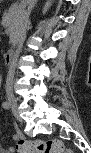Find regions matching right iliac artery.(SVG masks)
Masks as SVG:
<instances>
[{
	"label": "right iliac artery",
	"instance_id": "82829eb1",
	"mask_svg": "<svg viewBox=\"0 0 91 153\" xmlns=\"http://www.w3.org/2000/svg\"><path fill=\"white\" fill-rule=\"evenodd\" d=\"M2 107L4 109H9L10 105H9V103L7 101H5V102L2 103Z\"/></svg>",
	"mask_w": 91,
	"mask_h": 153
}]
</instances>
